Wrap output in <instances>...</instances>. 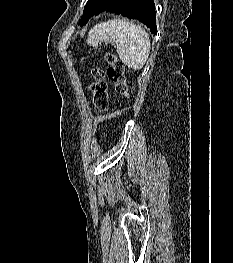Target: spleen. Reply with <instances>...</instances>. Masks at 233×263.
<instances>
[{
    "instance_id": "1",
    "label": "spleen",
    "mask_w": 233,
    "mask_h": 263,
    "mask_svg": "<svg viewBox=\"0 0 233 263\" xmlns=\"http://www.w3.org/2000/svg\"><path fill=\"white\" fill-rule=\"evenodd\" d=\"M104 41L116 45L121 61L131 69H142L148 59L151 48L148 33L127 19H112L90 30L89 45L97 47Z\"/></svg>"
}]
</instances>
